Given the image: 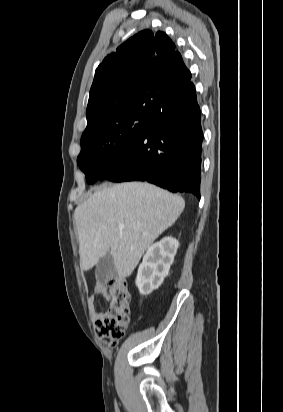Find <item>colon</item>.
<instances>
[{
	"mask_svg": "<svg viewBox=\"0 0 283 412\" xmlns=\"http://www.w3.org/2000/svg\"><path fill=\"white\" fill-rule=\"evenodd\" d=\"M109 308L94 323L97 337L106 345L115 346L124 336L129 322V294L123 281L110 280L106 286Z\"/></svg>",
	"mask_w": 283,
	"mask_h": 412,
	"instance_id": "1",
	"label": "colon"
}]
</instances>
